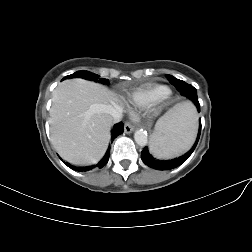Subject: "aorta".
I'll return each instance as SVG.
<instances>
[{"mask_svg":"<svg viewBox=\"0 0 252 252\" xmlns=\"http://www.w3.org/2000/svg\"><path fill=\"white\" fill-rule=\"evenodd\" d=\"M134 139L135 142L139 145V146H145L148 142V138H147V133L143 130H137L134 133Z\"/></svg>","mask_w":252,"mask_h":252,"instance_id":"obj_1","label":"aorta"}]
</instances>
